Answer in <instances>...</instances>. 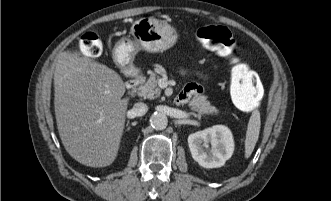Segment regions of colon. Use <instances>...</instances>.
<instances>
[{
	"mask_svg": "<svg viewBox=\"0 0 331 201\" xmlns=\"http://www.w3.org/2000/svg\"><path fill=\"white\" fill-rule=\"evenodd\" d=\"M198 40L221 56H231L235 39L225 26L206 25L196 32ZM80 48L88 57H98L102 53V43L93 32H86L80 40ZM230 91L235 105L242 111L255 110L262 99V83L255 72L237 58H232Z\"/></svg>",
	"mask_w": 331,
	"mask_h": 201,
	"instance_id": "5ec220e1",
	"label": "colon"
}]
</instances>
